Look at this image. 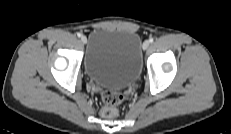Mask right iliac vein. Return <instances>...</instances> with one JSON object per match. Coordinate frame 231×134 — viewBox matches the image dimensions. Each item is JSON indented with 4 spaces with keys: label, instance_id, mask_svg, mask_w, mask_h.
I'll return each mask as SVG.
<instances>
[{
    "label": "right iliac vein",
    "instance_id": "obj_1",
    "mask_svg": "<svg viewBox=\"0 0 231 134\" xmlns=\"http://www.w3.org/2000/svg\"><path fill=\"white\" fill-rule=\"evenodd\" d=\"M81 42H82L83 44H86V43H87V38H86V36H81Z\"/></svg>",
    "mask_w": 231,
    "mask_h": 134
}]
</instances>
